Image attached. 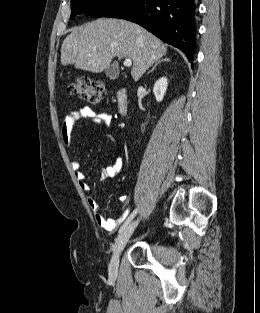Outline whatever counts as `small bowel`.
Instances as JSON below:
<instances>
[{
    "instance_id": "small-bowel-1",
    "label": "small bowel",
    "mask_w": 260,
    "mask_h": 313,
    "mask_svg": "<svg viewBox=\"0 0 260 313\" xmlns=\"http://www.w3.org/2000/svg\"><path fill=\"white\" fill-rule=\"evenodd\" d=\"M82 119L88 120V122L94 126H99L104 134L111 138L109 134V129L113 123V116L111 113L106 111H96L89 106L80 107L75 110H71L66 113L64 120L61 126V136L64 144L69 146L73 129L77 122ZM123 167V159L118 157L115 162L108 166L102 173L103 179L113 178L119 174ZM71 168L74 172V176L76 181L79 184V187L82 191L87 194V203L93 212L96 222L100 227L106 230H114L119 224L125 220L129 214V207H125L121 209L116 218H107L95 200V198L90 194V186L86 181V176L84 172L81 170L80 163L77 160L71 161ZM121 202L124 204H128L130 201L129 196L123 195L120 197ZM128 219V218H127Z\"/></svg>"
}]
</instances>
